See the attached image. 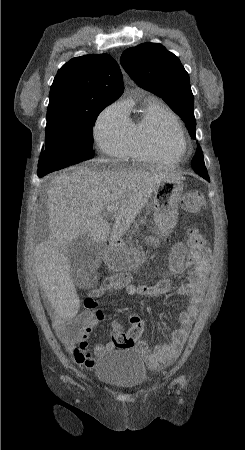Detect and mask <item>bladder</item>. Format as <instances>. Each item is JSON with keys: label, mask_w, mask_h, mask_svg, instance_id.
Returning <instances> with one entry per match:
<instances>
[{"label": "bladder", "mask_w": 245, "mask_h": 450, "mask_svg": "<svg viewBox=\"0 0 245 450\" xmlns=\"http://www.w3.org/2000/svg\"><path fill=\"white\" fill-rule=\"evenodd\" d=\"M98 380L112 388L135 392L145 383L146 367L130 347L106 354L96 363Z\"/></svg>", "instance_id": "bladder-1"}]
</instances>
